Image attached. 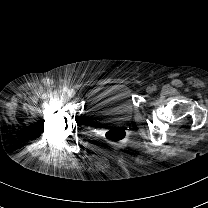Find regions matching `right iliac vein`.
Listing matches in <instances>:
<instances>
[{"label": "right iliac vein", "mask_w": 208, "mask_h": 208, "mask_svg": "<svg viewBox=\"0 0 208 208\" xmlns=\"http://www.w3.org/2000/svg\"><path fill=\"white\" fill-rule=\"evenodd\" d=\"M75 94H76V92L73 89L68 92V96L70 98H73L75 96Z\"/></svg>", "instance_id": "obj_1"}]
</instances>
